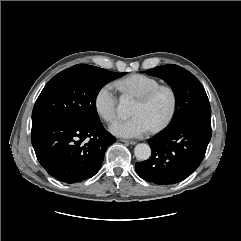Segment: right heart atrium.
Wrapping results in <instances>:
<instances>
[{"label": "right heart atrium", "mask_w": 241, "mask_h": 241, "mask_svg": "<svg viewBox=\"0 0 241 241\" xmlns=\"http://www.w3.org/2000/svg\"><path fill=\"white\" fill-rule=\"evenodd\" d=\"M95 108L98 114L106 122H111L117 111V96L110 84L102 86L94 98Z\"/></svg>", "instance_id": "obj_1"}]
</instances>
